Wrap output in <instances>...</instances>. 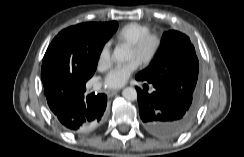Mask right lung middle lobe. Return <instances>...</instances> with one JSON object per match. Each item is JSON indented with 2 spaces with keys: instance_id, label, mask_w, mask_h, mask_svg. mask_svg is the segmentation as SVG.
I'll use <instances>...</instances> for the list:
<instances>
[{
  "instance_id": "right-lung-middle-lobe-1",
  "label": "right lung middle lobe",
  "mask_w": 244,
  "mask_h": 157,
  "mask_svg": "<svg viewBox=\"0 0 244 157\" xmlns=\"http://www.w3.org/2000/svg\"><path fill=\"white\" fill-rule=\"evenodd\" d=\"M118 27L117 22L105 30L88 23L62 30L49 45L42 62L41 79L52 85L74 82L76 66L82 67L89 79L97 67L104 44ZM81 62V64H80ZM86 80L84 81L85 84Z\"/></svg>"
}]
</instances>
